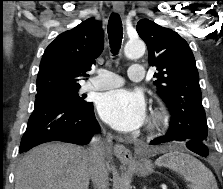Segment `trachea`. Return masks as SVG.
Returning a JSON list of instances; mask_svg holds the SVG:
<instances>
[{
    "label": "trachea",
    "instance_id": "1",
    "mask_svg": "<svg viewBox=\"0 0 223 189\" xmlns=\"http://www.w3.org/2000/svg\"><path fill=\"white\" fill-rule=\"evenodd\" d=\"M108 38L110 43L111 52L116 56L120 50L123 38V28L120 16L112 13L107 26Z\"/></svg>",
    "mask_w": 223,
    "mask_h": 189
}]
</instances>
